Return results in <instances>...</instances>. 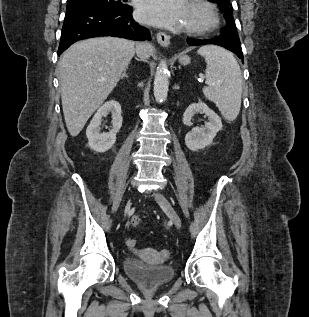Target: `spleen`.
<instances>
[{"label": "spleen", "instance_id": "spleen-1", "mask_svg": "<svg viewBox=\"0 0 309 317\" xmlns=\"http://www.w3.org/2000/svg\"><path fill=\"white\" fill-rule=\"evenodd\" d=\"M197 52L206 62L208 86L203 88V94L216 104L225 119L234 121L240 112L242 96L239 64L230 52L218 46L206 45Z\"/></svg>", "mask_w": 309, "mask_h": 317}]
</instances>
